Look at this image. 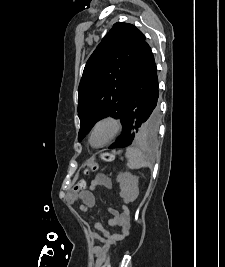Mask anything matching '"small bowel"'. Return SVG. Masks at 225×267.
<instances>
[{
  "instance_id": "1",
  "label": "small bowel",
  "mask_w": 225,
  "mask_h": 267,
  "mask_svg": "<svg viewBox=\"0 0 225 267\" xmlns=\"http://www.w3.org/2000/svg\"><path fill=\"white\" fill-rule=\"evenodd\" d=\"M98 187H105L112 189L113 184L109 177L105 175H98L91 183L90 189L76 195L70 193L67 195V201L74 203L75 201H82L83 203L79 206V210L82 213H87L90 208L95 205V198L93 191ZM110 219L109 225L117 227V233H111L106 230L99 222L93 224L94 229L90 231V236L93 240L99 241L101 244L93 248V253L96 256V267H103L102 263L105 259L106 253L113 246L118 245L124 238L129 235L130 231V218L129 209L126 205H123L121 211L116 209H109Z\"/></svg>"
}]
</instances>
